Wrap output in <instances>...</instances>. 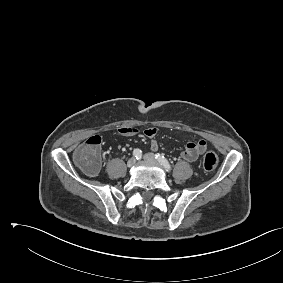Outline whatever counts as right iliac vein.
I'll list each match as a JSON object with an SVG mask.
<instances>
[{
  "mask_svg": "<svg viewBox=\"0 0 283 283\" xmlns=\"http://www.w3.org/2000/svg\"><path fill=\"white\" fill-rule=\"evenodd\" d=\"M135 163H136V159L132 157L127 161V166L132 167Z\"/></svg>",
  "mask_w": 283,
  "mask_h": 283,
  "instance_id": "1",
  "label": "right iliac vein"
}]
</instances>
